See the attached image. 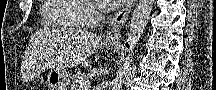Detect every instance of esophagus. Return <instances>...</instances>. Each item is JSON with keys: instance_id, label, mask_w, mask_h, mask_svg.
Returning <instances> with one entry per match:
<instances>
[{"instance_id": "1", "label": "esophagus", "mask_w": 216, "mask_h": 90, "mask_svg": "<svg viewBox=\"0 0 216 90\" xmlns=\"http://www.w3.org/2000/svg\"><path fill=\"white\" fill-rule=\"evenodd\" d=\"M136 0H127L120 9L110 18L108 27L103 35V40L106 42H119L120 31L125 25L131 10L133 9Z\"/></svg>"}]
</instances>
